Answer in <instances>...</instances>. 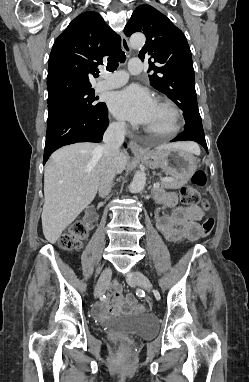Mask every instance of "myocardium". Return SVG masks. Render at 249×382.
<instances>
[{"label":"myocardium","mask_w":249,"mask_h":382,"mask_svg":"<svg viewBox=\"0 0 249 382\" xmlns=\"http://www.w3.org/2000/svg\"><path fill=\"white\" fill-rule=\"evenodd\" d=\"M157 104L163 106L170 112L172 119L171 126L167 131L161 133L153 132L147 128H145L144 130L150 136H154L160 139H169L176 135L181 127V115L179 109L173 102L167 99H159L157 101Z\"/></svg>","instance_id":"1"}]
</instances>
